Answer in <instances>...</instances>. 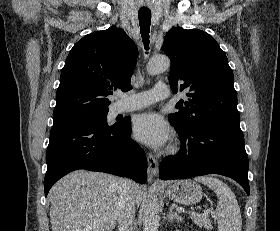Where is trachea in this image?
<instances>
[{"label": "trachea", "instance_id": "trachea-1", "mask_svg": "<svg viewBox=\"0 0 280 231\" xmlns=\"http://www.w3.org/2000/svg\"><path fill=\"white\" fill-rule=\"evenodd\" d=\"M139 25L145 49H149V31L151 22V11L148 9H140L138 12Z\"/></svg>", "mask_w": 280, "mask_h": 231}]
</instances>
